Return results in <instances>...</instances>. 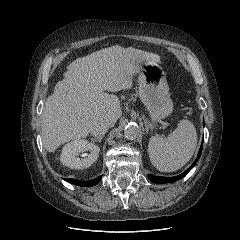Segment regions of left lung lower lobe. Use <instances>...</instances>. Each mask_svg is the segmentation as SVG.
I'll use <instances>...</instances> for the list:
<instances>
[{
    "label": "left lung lower lobe",
    "mask_w": 240,
    "mask_h": 240,
    "mask_svg": "<svg viewBox=\"0 0 240 240\" xmlns=\"http://www.w3.org/2000/svg\"><path fill=\"white\" fill-rule=\"evenodd\" d=\"M201 152H202V146L199 149L197 158L194 161V163L185 172H183L182 174H180L178 176H175V177H161L160 176L159 177V176L148 175V178L156 184L172 183V182L178 181L181 178H183L184 176H186L188 174V172L194 167V165L196 164V162L200 158Z\"/></svg>",
    "instance_id": "1"
}]
</instances>
